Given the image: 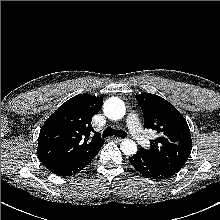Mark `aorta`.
I'll return each mask as SVG.
<instances>
[{
	"mask_svg": "<svg viewBox=\"0 0 220 220\" xmlns=\"http://www.w3.org/2000/svg\"><path fill=\"white\" fill-rule=\"evenodd\" d=\"M103 111L109 119L120 120L124 117L126 108L122 100L112 97L104 103ZM120 149L125 155H134L137 152V144L133 140L125 139Z\"/></svg>",
	"mask_w": 220,
	"mask_h": 220,
	"instance_id": "1",
	"label": "aorta"
}]
</instances>
